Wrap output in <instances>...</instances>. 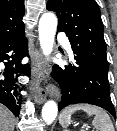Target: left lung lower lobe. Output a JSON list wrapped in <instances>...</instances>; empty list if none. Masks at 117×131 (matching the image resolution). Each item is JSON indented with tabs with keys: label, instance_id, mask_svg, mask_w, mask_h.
<instances>
[{
	"label": "left lung lower lobe",
	"instance_id": "0a47b994",
	"mask_svg": "<svg viewBox=\"0 0 117 131\" xmlns=\"http://www.w3.org/2000/svg\"><path fill=\"white\" fill-rule=\"evenodd\" d=\"M52 77L61 86L62 99L59 110L70 104L88 103L104 108L116 119L108 77L93 65L74 56V61L69 66L61 68L55 65Z\"/></svg>",
	"mask_w": 117,
	"mask_h": 131
}]
</instances>
